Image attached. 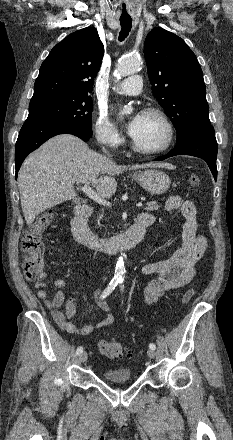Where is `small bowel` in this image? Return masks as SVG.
<instances>
[{"mask_svg":"<svg viewBox=\"0 0 233 440\" xmlns=\"http://www.w3.org/2000/svg\"><path fill=\"white\" fill-rule=\"evenodd\" d=\"M166 210L169 212L180 211L185 219L182 245L170 257L147 263L142 267L143 275L155 276V279L147 284L144 291V300L147 304L157 301L165 291L187 284L195 275L196 265L207 248V240L198 230L197 211L192 201L184 199L180 195H173L166 202ZM139 216L154 219L148 213H141ZM54 286L58 291L52 299H49L45 290L46 283L43 279L37 280L35 283L37 296L44 301L45 306L51 311L54 321L64 332L89 335L95 330L113 323L114 318L110 314V307L104 298H101V290L98 289L96 291L97 305L107 313L106 316L96 323L84 327L76 326L71 321L76 314V302L73 298H66L63 291L66 286L65 280L56 279ZM62 306L65 307V312L60 310Z\"/></svg>","mask_w":233,"mask_h":440,"instance_id":"obj_1","label":"small bowel"}]
</instances>
